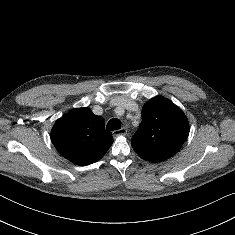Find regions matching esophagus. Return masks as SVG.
<instances>
[{
  "instance_id": "1",
  "label": "esophagus",
  "mask_w": 235,
  "mask_h": 235,
  "mask_svg": "<svg viewBox=\"0 0 235 235\" xmlns=\"http://www.w3.org/2000/svg\"><path fill=\"white\" fill-rule=\"evenodd\" d=\"M127 134V129L125 127L113 131V137L125 136Z\"/></svg>"
}]
</instances>
